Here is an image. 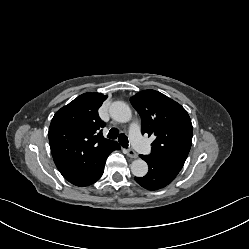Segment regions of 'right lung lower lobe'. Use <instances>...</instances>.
I'll return each mask as SVG.
<instances>
[{
  "instance_id": "obj_1",
  "label": "right lung lower lobe",
  "mask_w": 249,
  "mask_h": 249,
  "mask_svg": "<svg viewBox=\"0 0 249 249\" xmlns=\"http://www.w3.org/2000/svg\"><path fill=\"white\" fill-rule=\"evenodd\" d=\"M120 149V146L119 144L117 143L116 145H114L113 147H111L103 156L102 158L100 159L99 163H98V167L97 169L95 170L94 174L91 176V178L83 185V186H88V185H91L93 183H95L103 174V171H104V165H105V162H106V159L108 157V155L114 151V150H119Z\"/></svg>"
}]
</instances>
